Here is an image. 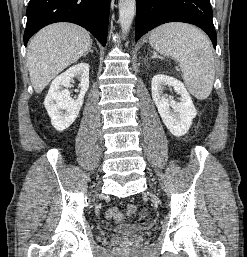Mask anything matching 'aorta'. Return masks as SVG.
Masks as SVG:
<instances>
[{
	"label": "aorta",
	"mask_w": 247,
	"mask_h": 257,
	"mask_svg": "<svg viewBox=\"0 0 247 257\" xmlns=\"http://www.w3.org/2000/svg\"><path fill=\"white\" fill-rule=\"evenodd\" d=\"M118 6L122 33L127 34L135 16L136 0H119Z\"/></svg>",
	"instance_id": "obj_1"
}]
</instances>
